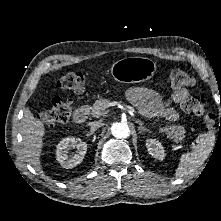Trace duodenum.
<instances>
[{
	"label": "duodenum",
	"mask_w": 221,
	"mask_h": 221,
	"mask_svg": "<svg viewBox=\"0 0 221 221\" xmlns=\"http://www.w3.org/2000/svg\"><path fill=\"white\" fill-rule=\"evenodd\" d=\"M89 114L90 109L88 105H81L74 113V120L76 123H82L89 117Z\"/></svg>",
	"instance_id": "410a0bca"
}]
</instances>
